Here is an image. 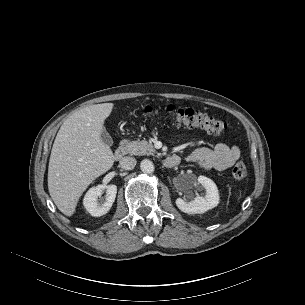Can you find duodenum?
Wrapping results in <instances>:
<instances>
[{
  "label": "duodenum",
  "mask_w": 305,
  "mask_h": 305,
  "mask_svg": "<svg viewBox=\"0 0 305 305\" xmlns=\"http://www.w3.org/2000/svg\"><path fill=\"white\" fill-rule=\"evenodd\" d=\"M127 146L125 142H121L114 151V160L119 161L126 154ZM180 162V158L178 156H171L164 159V165L166 167H173Z\"/></svg>",
  "instance_id": "duodenum-1"
}]
</instances>
